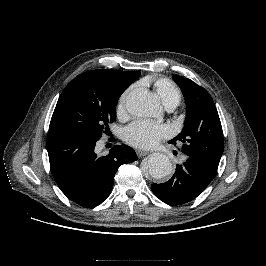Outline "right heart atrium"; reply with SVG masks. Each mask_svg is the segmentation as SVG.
<instances>
[{"label": "right heart atrium", "instance_id": "1", "mask_svg": "<svg viewBox=\"0 0 266 266\" xmlns=\"http://www.w3.org/2000/svg\"><path fill=\"white\" fill-rule=\"evenodd\" d=\"M129 92V90L123 92L117 101L116 113L119 117H123L126 112V103L129 96Z\"/></svg>", "mask_w": 266, "mask_h": 266}]
</instances>
